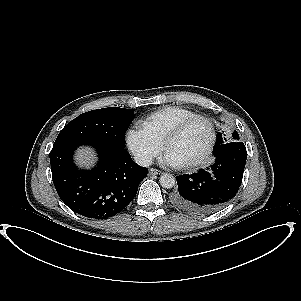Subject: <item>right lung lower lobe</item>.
I'll list each match as a JSON object with an SVG mask.
<instances>
[{
  "instance_id": "98d812e1",
  "label": "right lung lower lobe",
  "mask_w": 301,
  "mask_h": 301,
  "mask_svg": "<svg viewBox=\"0 0 301 301\" xmlns=\"http://www.w3.org/2000/svg\"><path fill=\"white\" fill-rule=\"evenodd\" d=\"M80 145L96 149L99 163L94 169L79 170L73 163V152ZM50 163L59 197L74 212L92 219H107L125 209L148 173L124 147L103 140L54 144Z\"/></svg>"
}]
</instances>
